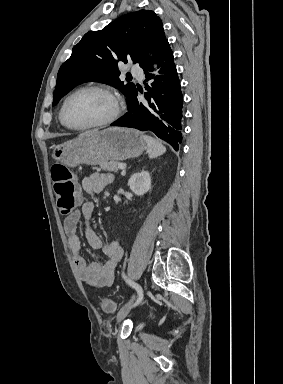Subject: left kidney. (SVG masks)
<instances>
[{
  "mask_svg": "<svg viewBox=\"0 0 283 384\" xmlns=\"http://www.w3.org/2000/svg\"><path fill=\"white\" fill-rule=\"evenodd\" d=\"M128 186L136 196H144L151 186V178L149 172L141 170L138 174H133L128 180Z\"/></svg>",
  "mask_w": 283,
  "mask_h": 384,
  "instance_id": "1",
  "label": "left kidney"
}]
</instances>
